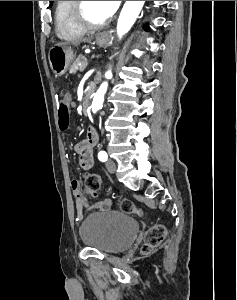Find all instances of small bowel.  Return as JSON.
I'll return each instance as SVG.
<instances>
[{
  "label": "small bowel",
  "mask_w": 237,
  "mask_h": 300,
  "mask_svg": "<svg viewBox=\"0 0 237 300\" xmlns=\"http://www.w3.org/2000/svg\"><path fill=\"white\" fill-rule=\"evenodd\" d=\"M68 103L71 102V95L64 94L61 98ZM99 135L98 131L94 126H90L87 130L86 137L79 141L75 147V153L78 155V163L80 167L84 170H89L93 165V149L98 143ZM72 191L77 201V208H78V220L82 218V212L84 209H107L110 207L111 203L108 199L101 200L91 206L87 205L84 202L83 196L80 192V184L78 181L73 180L71 182Z\"/></svg>",
  "instance_id": "1"
}]
</instances>
